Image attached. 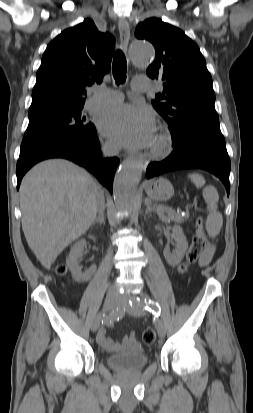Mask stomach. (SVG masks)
Listing matches in <instances>:
<instances>
[{
    "label": "stomach",
    "mask_w": 253,
    "mask_h": 413,
    "mask_svg": "<svg viewBox=\"0 0 253 413\" xmlns=\"http://www.w3.org/2000/svg\"><path fill=\"white\" fill-rule=\"evenodd\" d=\"M145 191L151 199L158 201L168 200L174 194L172 184L163 178L147 183L145 186Z\"/></svg>",
    "instance_id": "1"
}]
</instances>
